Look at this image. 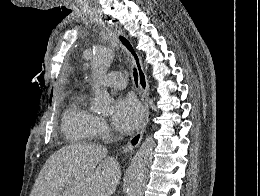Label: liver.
<instances>
[{
	"label": "liver",
	"mask_w": 260,
	"mask_h": 196,
	"mask_svg": "<svg viewBox=\"0 0 260 196\" xmlns=\"http://www.w3.org/2000/svg\"><path fill=\"white\" fill-rule=\"evenodd\" d=\"M96 144H74L46 160L30 196H112L121 180L120 164Z\"/></svg>",
	"instance_id": "1"
}]
</instances>
